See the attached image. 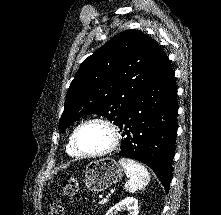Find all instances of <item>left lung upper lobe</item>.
<instances>
[{
	"label": "left lung upper lobe",
	"mask_w": 221,
	"mask_h": 215,
	"mask_svg": "<svg viewBox=\"0 0 221 215\" xmlns=\"http://www.w3.org/2000/svg\"><path fill=\"white\" fill-rule=\"evenodd\" d=\"M167 59L158 43L138 30L110 39L81 64L67 92L59 130L86 114L119 125L136 95Z\"/></svg>",
	"instance_id": "1"
}]
</instances>
